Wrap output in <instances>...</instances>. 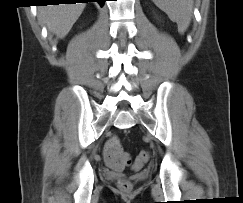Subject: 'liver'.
Returning <instances> with one entry per match:
<instances>
[{
	"label": "liver",
	"instance_id": "obj_1",
	"mask_svg": "<svg viewBox=\"0 0 243 203\" xmlns=\"http://www.w3.org/2000/svg\"><path fill=\"white\" fill-rule=\"evenodd\" d=\"M85 3L47 5L38 9V19L58 38H64L80 17Z\"/></svg>",
	"mask_w": 243,
	"mask_h": 203
}]
</instances>
